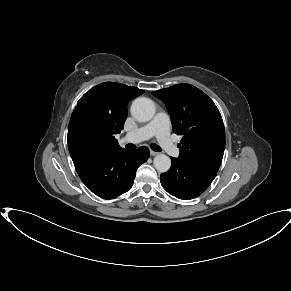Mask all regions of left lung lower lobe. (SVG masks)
<instances>
[{
	"instance_id": "left-lung-lower-lobe-1",
	"label": "left lung lower lobe",
	"mask_w": 291,
	"mask_h": 291,
	"mask_svg": "<svg viewBox=\"0 0 291 291\" xmlns=\"http://www.w3.org/2000/svg\"><path fill=\"white\" fill-rule=\"evenodd\" d=\"M171 168L160 177L163 188L171 195L190 200L202 194L216 174L195 169L178 158L171 157Z\"/></svg>"
}]
</instances>
